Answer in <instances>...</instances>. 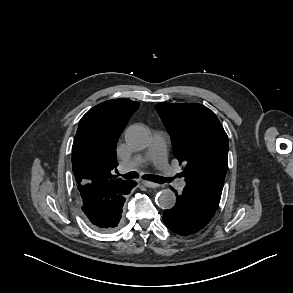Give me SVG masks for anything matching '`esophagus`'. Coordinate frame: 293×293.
Instances as JSON below:
<instances>
[{"mask_svg": "<svg viewBox=\"0 0 293 293\" xmlns=\"http://www.w3.org/2000/svg\"><path fill=\"white\" fill-rule=\"evenodd\" d=\"M142 184L145 187H148V188H157V187H159V184L151 182V181H146V180L142 181Z\"/></svg>", "mask_w": 293, "mask_h": 293, "instance_id": "34e87169", "label": "esophagus"}]
</instances>
